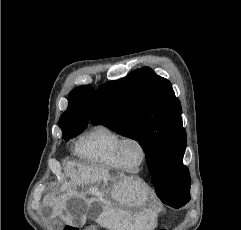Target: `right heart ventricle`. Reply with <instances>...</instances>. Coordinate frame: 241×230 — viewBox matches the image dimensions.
I'll return each instance as SVG.
<instances>
[{"label": "right heart ventricle", "mask_w": 241, "mask_h": 230, "mask_svg": "<svg viewBox=\"0 0 241 230\" xmlns=\"http://www.w3.org/2000/svg\"><path fill=\"white\" fill-rule=\"evenodd\" d=\"M121 137L122 135L113 128L98 124L81 137L76 146V152L86 162L124 169L116 154Z\"/></svg>", "instance_id": "1"}]
</instances>
